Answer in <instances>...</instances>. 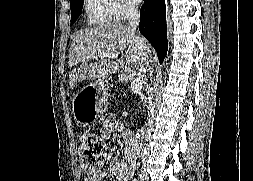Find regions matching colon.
<instances>
[{
    "mask_svg": "<svg viewBox=\"0 0 253 181\" xmlns=\"http://www.w3.org/2000/svg\"><path fill=\"white\" fill-rule=\"evenodd\" d=\"M79 155L82 168L86 172H95L105 161V144L95 134H87L80 141Z\"/></svg>",
    "mask_w": 253,
    "mask_h": 181,
    "instance_id": "5ec220e1",
    "label": "colon"
}]
</instances>
